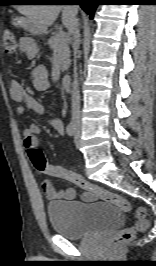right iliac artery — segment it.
Segmentation results:
<instances>
[{"label": "right iliac artery", "instance_id": "right-iliac-artery-1", "mask_svg": "<svg viewBox=\"0 0 156 266\" xmlns=\"http://www.w3.org/2000/svg\"><path fill=\"white\" fill-rule=\"evenodd\" d=\"M66 132L69 136L75 135L76 132V126L73 122H70L66 127Z\"/></svg>", "mask_w": 156, "mask_h": 266}]
</instances>
